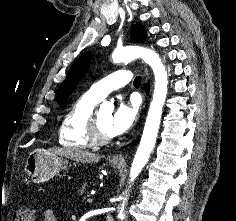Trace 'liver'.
<instances>
[{
  "label": "liver",
  "mask_w": 236,
  "mask_h": 221,
  "mask_svg": "<svg viewBox=\"0 0 236 221\" xmlns=\"http://www.w3.org/2000/svg\"><path fill=\"white\" fill-rule=\"evenodd\" d=\"M48 152L59 156H65L81 163H97L101 159L99 154L74 148H52Z\"/></svg>",
  "instance_id": "6515ba94"
}]
</instances>
